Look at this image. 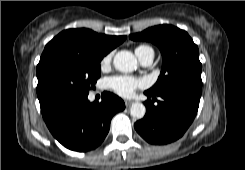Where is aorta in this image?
<instances>
[{
    "label": "aorta",
    "mask_w": 245,
    "mask_h": 170,
    "mask_svg": "<svg viewBox=\"0 0 245 170\" xmlns=\"http://www.w3.org/2000/svg\"><path fill=\"white\" fill-rule=\"evenodd\" d=\"M114 67L121 72H132L137 68V59L135 56L127 50H122L116 53L113 59ZM146 112L145 106L140 102H135L131 105V116L141 119Z\"/></svg>",
    "instance_id": "obj_1"
}]
</instances>
